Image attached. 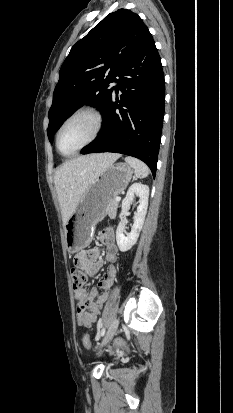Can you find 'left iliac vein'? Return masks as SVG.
<instances>
[{"instance_id": "4c4485c4", "label": "left iliac vein", "mask_w": 233, "mask_h": 413, "mask_svg": "<svg viewBox=\"0 0 233 413\" xmlns=\"http://www.w3.org/2000/svg\"><path fill=\"white\" fill-rule=\"evenodd\" d=\"M118 326H119V319H115L111 323V325H110V327H109V329H108V331H107V333H106V335H105V337H104V339H103V341L100 345V348H103L105 345H107L110 342V340L116 334V332L118 330Z\"/></svg>"}]
</instances>
